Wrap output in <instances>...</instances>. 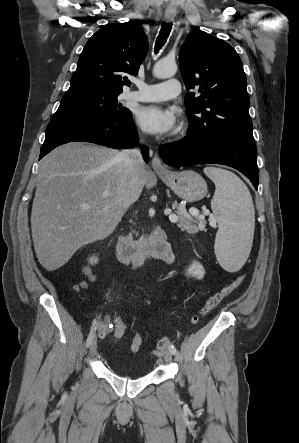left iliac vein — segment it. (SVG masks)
Listing matches in <instances>:
<instances>
[{"label":"left iliac vein","instance_id":"4c4485c4","mask_svg":"<svg viewBox=\"0 0 299 443\" xmlns=\"http://www.w3.org/2000/svg\"><path fill=\"white\" fill-rule=\"evenodd\" d=\"M165 362L170 363L172 361V353L170 351H166L163 355Z\"/></svg>","mask_w":299,"mask_h":443}]
</instances>
